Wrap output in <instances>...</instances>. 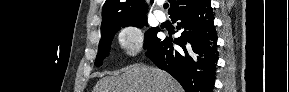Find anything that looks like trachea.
I'll return each mask as SVG.
<instances>
[{
  "label": "trachea",
  "mask_w": 289,
  "mask_h": 92,
  "mask_svg": "<svg viewBox=\"0 0 289 92\" xmlns=\"http://www.w3.org/2000/svg\"><path fill=\"white\" fill-rule=\"evenodd\" d=\"M169 7L168 3L164 4V8L167 9Z\"/></svg>",
  "instance_id": "obj_1"
}]
</instances>
